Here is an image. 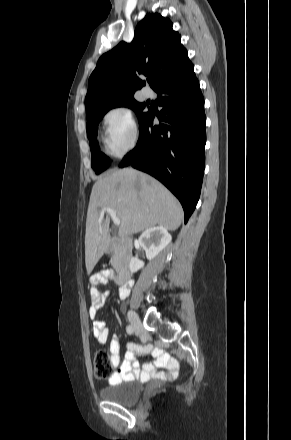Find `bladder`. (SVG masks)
Returning a JSON list of instances; mask_svg holds the SVG:
<instances>
[{
    "label": "bladder",
    "mask_w": 291,
    "mask_h": 440,
    "mask_svg": "<svg viewBox=\"0 0 291 440\" xmlns=\"http://www.w3.org/2000/svg\"><path fill=\"white\" fill-rule=\"evenodd\" d=\"M99 394L106 401L119 405H132L137 403L141 398L142 388L139 381L128 380L103 387L100 389Z\"/></svg>",
    "instance_id": "1"
}]
</instances>
